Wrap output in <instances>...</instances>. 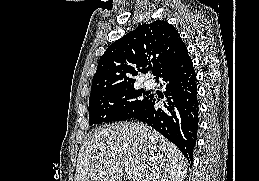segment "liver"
<instances>
[{"instance_id":"1","label":"liver","mask_w":259,"mask_h":181,"mask_svg":"<svg viewBox=\"0 0 259 181\" xmlns=\"http://www.w3.org/2000/svg\"><path fill=\"white\" fill-rule=\"evenodd\" d=\"M188 161L160 133L142 123H118L94 131L80 148L75 181H183Z\"/></svg>"}]
</instances>
